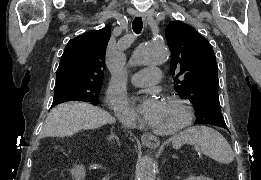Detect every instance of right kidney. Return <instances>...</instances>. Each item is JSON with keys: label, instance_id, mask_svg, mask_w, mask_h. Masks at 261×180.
<instances>
[{"label": "right kidney", "instance_id": "obj_1", "mask_svg": "<svg viewBox=\"0 0 261 180\" xmlns=\"http://www.w3.org/2000/svg\"><path fill=\"white\" fill-rule=\"evenodd\" d=\"M72 176H75V178H79V180H83L85 176V168H83V166H77V168H74V170H72Z\"/></svg>", "mask_w": 261, "mask_h": 180}]
</instances>
